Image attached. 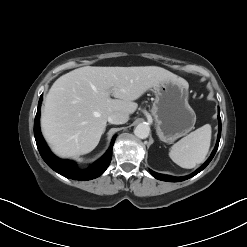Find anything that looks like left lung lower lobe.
<instances>
[{
  "label": "left lung lower lobe",
  "instance_id": "1",
  "mask_svg": "<svg viewBox=\"0 0 247 247\" xmlns=\"http://www.w3.org/2000/svg\"><path fill=\"white\" fill-rule=\"evenodd\" d=\"M219 114H218V120H219V131H218V139H217V143H216V146L211 154V156L208 158V160L200 167L198 168L195 172H193L192 174L188 175V176H184V177H173V176H169V175H163V174H159V173H156L152 170H150L151 174L156 178V179H159V180H162V181H168V182H180V181H184V180H187L193 176H195L196 174H198L200 171H202L209 163L210 161L213 159L216 151H217V148H218V145H219V141H220V136H221V118H220V108H219Z\"/></svg>",
  "mask_w": 247,
  "mask_h": 247
}]
</instances>
